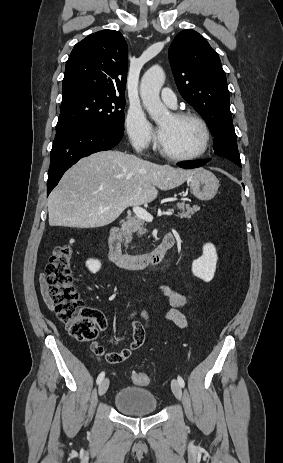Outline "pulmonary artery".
<instances>
[{"label":"pulmonary artery","instance_id":"pulmonary-artery-1","mask_svg":"<svg viewBox=\"0 0 283 463\" xmlns=\"http://www.w3.org/2000/svg\"><path fill=\"white\" fill-rule=\"evenodd\" d=\"M161 98L167 106L175 108L177 105V97L170 88H163L161 91Z\"/></svg>","mask_w":283,"mask_h":463}]
</instances>
